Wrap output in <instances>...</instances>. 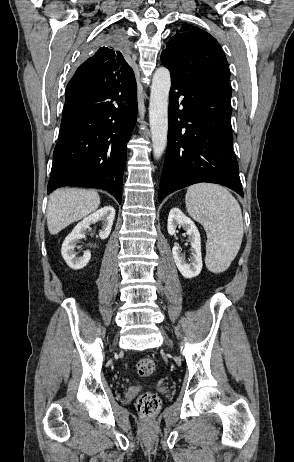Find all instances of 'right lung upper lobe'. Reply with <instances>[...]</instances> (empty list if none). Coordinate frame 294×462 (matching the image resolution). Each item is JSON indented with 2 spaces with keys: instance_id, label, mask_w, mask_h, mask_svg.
<instances>
[{
  "instance_id": "cb5924a9",
  "label": "right lung upper lobe",
  "mask_w": 294,
  "mask_h": 462,
  "mask_svg": "<svg viewBox=\"0 0 294 462\" xmlns=\"http://www.w3.org/2000/svg\"><path fill=\"white\" fill-rule=\"evenodd\" d=\"M134 72L114 47H100L79 66L67 85L66 91L90 94L126 83Z\"/></svg>"
}]
</instances>
